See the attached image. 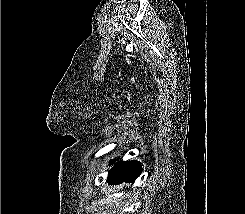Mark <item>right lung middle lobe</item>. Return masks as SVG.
Wrapping results in <instances>:
<instances>
[{
    "label": "right lung middle lobe",
    "mask_w": 245,
    "mask_h": 214,
    "mask_svg": "<svg viewBox=\"0 0 245 214\" xmlns=\"http://www.w3.org/2000/svg\"><path fill=\"white\" fill-rule=\"evenodd\" d=\"M116 160H112L110 164H114ZM118 165L116 164L114 168H112V170H114ZM110 170V172L112 171Z\"/></svg>",
    "instance_id": "dd1d6c3e"
}]
</instances>
